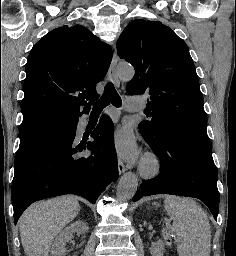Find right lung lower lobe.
Here are the masks:
<instances>
[{"label":"right lung lower lobe","mask_w":236,"mask_h":256,"mask_svg":"<svg viewBox=\"0 0 236 256\" xmlns=\"http://www.w3.org/2000/svg\"><path fill=\"white\" fill-rule=\"evenodd\" d=\"M77 123L19 147L12 182L15 224L37 200L76 194L94 204L118 179L112 121L103 117L91 133L94 140L78 145Z\"/></svg>","instance_id":"obj_1"}]
</instances>
